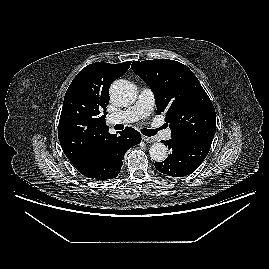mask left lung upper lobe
I'll return each instance as SVG.
<instances>
[{"mask_svg": "<svg viewBox=\"0 0 269 269\" xmlns=\"http://www.w3.org/2000/svg\"><path fill=\"white\" fill-rule=\"evenodd\" d=\"M131 67L154 92L157 114H166L171 139L182 143H212L216 131L215 109L186 65L157 59L134 61Z\"/></svg>", "mask_w": 269, "mask_h": 269, "instance_id": "obj_1", "label": "left lung upper lobe"}]
</instances>
